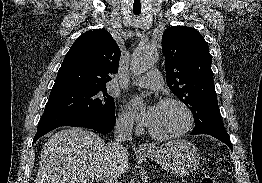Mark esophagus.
I'll return each mask as SVG.
<instances>
[{"label": "esophagus", "instance_id": "34e87169", "mask_svg": "<svg viewBox=\"0 0 262 183\" xmlns=\"http://www.w3.org/2000/svg\"><path fill=\"white\" fill-rule=\"evenodd\" d=\"M150 148H149V146L147 145V144H145V143H141L140 145H139V150L140 151H147V150H149Z\"/></svg>", "mask_w": 262, "mask_h": 183}]
</instances>
